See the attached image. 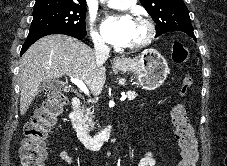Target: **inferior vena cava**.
Here are the masks:
<instances>
[{"instance_id": "602c4592", "label": "inferior vena cava", "mask_w": 227, "mask_h": 166, "mask_svg": "<svg viewBox=\"0 0 227 166\" xmlns=\"http://www.w3.org/2000/svg\"><path fill=\"white\" fill-rule=\"evenodd\" d=\"M97 67L100 68L109 57L110 49L100 37L93 38Z\"/></svg>"}]
</instances>
